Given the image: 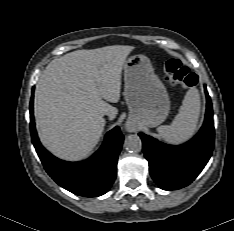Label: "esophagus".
<instances>
[{
    "label": "esophagus",
    "mask_w": 234,
    "mask_h": 231,
    "mask_svg": "<svg viewBox=\"0 0 234 231\" xmlns=\"http://www.w3.org/2000/svg\"><path fill=\"white\" fill-rule=\"evenodd\" d=\"M126 129L129 131V132H134L135 128L134 127H131V126H127Z\"/></svg>",
    "instance_id": "1"
}]
</instances>
